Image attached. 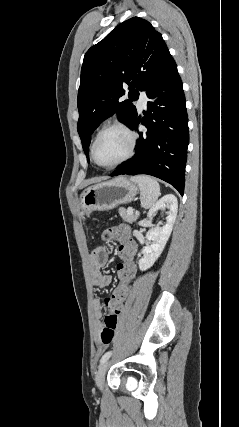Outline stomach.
Wrapping results in <instances>:
<instances>
[{
    "instance_id": "1",
    "label": "stomach",
    "mask_w": 239,
    "mask_h": 427,
    "mask_svg": "<svg viewBox=\"0 0 239 427\" xmlns=\"http://www.w3.org/2000/svg\"><path fill=\"white\" fill-rule=\"evenodd\" d=\"M138 192L136 184L125 177L98 183L84 190L81 206L85 214L93 211H107L119 204L131 202Z\"/></svg>"
}]
</instances>
